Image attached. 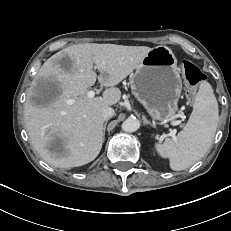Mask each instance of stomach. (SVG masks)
Returning <instances> with one entry per match:
<instances>
[{"label": "stomach", "mask_w": 231, "mask_h": 231, "mask_svg": "<svg viewBox=\"0 0 231 231\" xmlns=\"http://www.w3.org/2000/svg\"><path fill=\"white\" fill-rule=\"evenodd\" d=\"M133 95L157 121L174 119L182 90L177 59L167 46H157L130 76Z\"/></svg>", "instance_id": "1"}]
</instances>
